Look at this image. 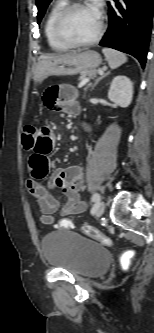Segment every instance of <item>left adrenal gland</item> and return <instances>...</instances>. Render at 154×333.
<instances>
[{
    "label": "left adrenal gland",
    "instance_id": "obj_1",
    "mask_svg": "<svg viewBox=\"0 0 154 333\" xmlns=\"http://www.w3.org/2000/svg\"><path fill=\"white\" fill-rule=\"evenodd\" d=\"M106 75H108V73L105 74L104 76H102L100 79H102V78L105 77ZM98 81H99V80L96 81V83L94 84V86L98 83Z\"/></svg>",
    "mask_w": 154,
    "mask_h": 333
}]
</instances>
